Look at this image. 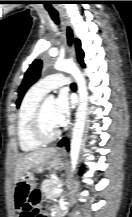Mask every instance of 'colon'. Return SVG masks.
I'll return each mask as SVG.
<instances>
[{
  "mask_svg": "<svg viewBox=\"0 0 132 217\" xmlns=\"http://www.w3.org/2000/svg\"><path fill=\"white\" fill-rule=\"evenodd\" d=\"M40 192L39 190H33L27 195L26 204L29 211L32 214V217H41L40 216Z\"/></svg>",
  "mask_w": 132,
  "mask_h": 217,
  "instance_id": "5ec220e1",
  "label": "colon"
}]
</instances>
